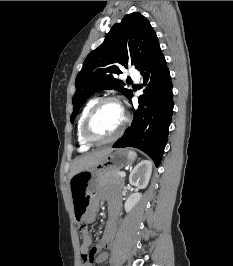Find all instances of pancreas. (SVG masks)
I'll return each mask as SVG.
<instances>
[{
  "mask_svg": "<svg viewBox=\"0 0 233 266\" xmlns=\"http://www.w3.org/2000/svg\"><path fill=\"white\" fill-rule=\"evenodd\" d=\"M120 171H110L103 173L98 181V186L103 187L106 185L122 186L124 178L119 175Z\"/></svg>",
  "mask_w": 233,
  "mask_h": 266,
  "instance_id": "pancreas-1",
  "label": "pancreas"
}]
</instances>
